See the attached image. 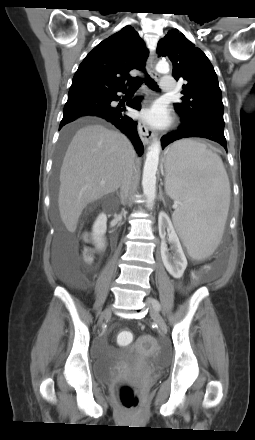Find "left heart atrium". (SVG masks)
<instances>
[{"instance_id":"1","label":"left heart atrium","mask_w":255,"mask_h":440,"mask_svg":"<svg viewBox=\"0 0 255 440\" xmlns=\"http://www.w3.org/2000/svg\"><path fill=\"white\" fill-rule=\"evenodd\" d=\"M142 117L145 121L154 126H163L169 119L166 108L160 103H156L149 109L143 111Z\"/></svg>"}]
</instances>
